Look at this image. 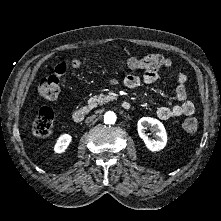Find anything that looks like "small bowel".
I'll return each mask as SVG.
<instances>
[{"mask_svg":"<svg viewBox=\"0 0 221 221\" xmlns=\"http://www.w3.org/2000/svg\"><path fill=\"white\" fill-rule=\"evenodd\" d=\"M158 74L150 71L144 72L142 76L128 74L123 79V85L126 88L134 89L139 87L142 83H153L157 80ZM178 83L176 87L175 102L168 106H161L156 109L155 117L159 120H169L181 116H192L195 113L194 102L189 98L186 89L188 76L184 72H178L175 75ZM112 84L118 83V80H112Z\"/></svg>","mask_w":221,"mask_h":221,"instance_id":"small-bowel-1","label":"small bowel"}]
</instances>
